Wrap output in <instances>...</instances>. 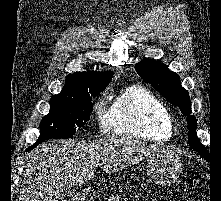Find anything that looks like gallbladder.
<instances>
[{"instance_id": "bac80fb5", "label": "gallbladder", "mask_w": 221, "mask_h": 201, "mask_svg": "<svg viewBox=\"0 0 221 201\" xmlns=\"http://www.w3.org/2000/svg\"><path fill=\"white\" fill-rule=\"evenodd\" d=\"M74 188L71 185L64 186L61 191L60 198L62 201H70V199L74 196Z\"/></svg>"}]
</instances>
